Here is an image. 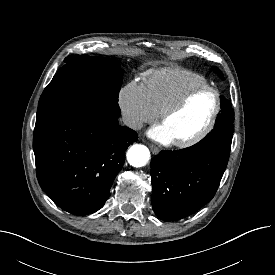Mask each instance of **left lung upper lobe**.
Masks as SVG:
<instances>
[{
    "label": "left lung upper lobe",
    "instance_id": "left-lung-upper-lobe-1",
    "mask_svg": "<svg viewBox=\"0 0 275 275\" xmlns=\"http://www.w3.org/2000/svg\"><path fill=\"white\" fill-rule=\"evenodd\" d=\"M216 72L223 77L221 71L215 67ZM221 109L222 114L225 115L222 116V119H216L214 129L215 130H228L230 132H234V111L231 107V103L229 100H227L224 96H221ZM224 111V112H223Z\"/></svg>",
    "mask_w": 275,
    "mask_h": 275
}]
</instances>
